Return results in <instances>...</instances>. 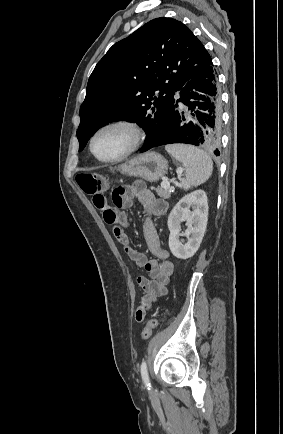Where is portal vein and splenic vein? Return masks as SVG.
Instances as JSON below:
<instances>
[{"instance_id": "portal-vein-and-splenic-vein-1", "label": "portal vein and splenic vein", "mask_w": 283, "mask_h": 434, "mask_svg": "<svg viewBox=\"0 0 283 434\" xmlns=\"http://www.w3.org/2000/svg\"><path fill=\"white\" fill-rule=\"evenodd\" d=\"M161 186L164 187V188H168V187H170V182L167 181V180H165V181H163V182L161 183Z\"/></svg>"}]
</instances>
